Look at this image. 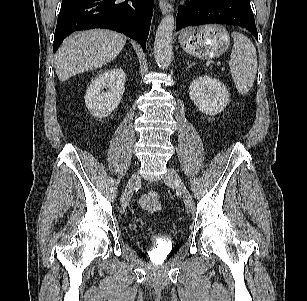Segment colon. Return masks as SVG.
Here are the masks:
<instances>
[{
	"label": "colon",
	"mask_w": 307,
	"mask_h": 301,
	"mask_svg": "<svg viewBox=\"0 0 307 301\" xmlns=\"http://www.w3.org/2000/svg\"><path fill=\"white\" fill-rule=\"evenodd\" d=\"M140 206L147 213H158L162 208V202L157 192L149 191L140 198Z\"/></svg>",
	"instance_id": "colon-1"
}]
</instances>
